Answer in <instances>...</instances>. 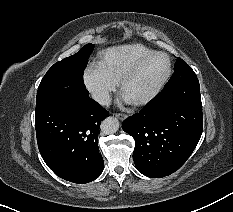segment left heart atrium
<instances>
[{"instance_id":"obj_1","label":"left heart atrium","mask_w":233,"mask_h":212,"mask_svg":"<svg viewBox=\"0 0 233 212\" xmlns=\"http://www.w3.org/2000/svg\"><path fill=\"white\" fill-rule=\"evenodd\" d=\"M122 98L124 101H129V99L124 94H123Z\"/></svg>"}]
</instances>
